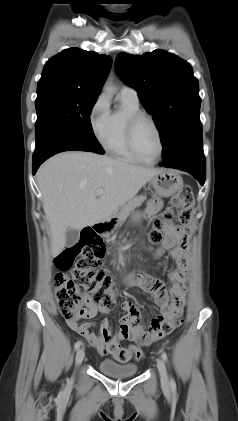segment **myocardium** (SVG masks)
Returning a JSON list of instances; mask_svg holds the SVG:
<instances>
[{
    "instance_id": "obj_1",
    "label": "myocardium",
    "mask_w": 238,
    "mask_h": 421,
    "mask_svg": "<svg viewBox=\"0 0 238 421\" xmlns=\"http://www.w3.org/2000/svg\"><path fill=\"white\" fill-rule=\"evenodd\" d=\"M148 120L152 126L154 127L157 136H158V141H159V152L158 155L156 156L155 159L151 160V161H147L145 159H143L137 152L136 147H135V131L137 128V125L139 124V122L141 120ZM126 139H127V144L128 147L131 151V153L133 154V156L138 160V162H141L143 164L146 165H153L155 163H157L160 158L162 157L163 151H164V142H163V136H162V132L160 130L159 125L157 124V122L155 121V119L148 113L143 112V111H138L135 113H132L129 115L127 122H126Z\"/></svg>"
}]
</instances>
